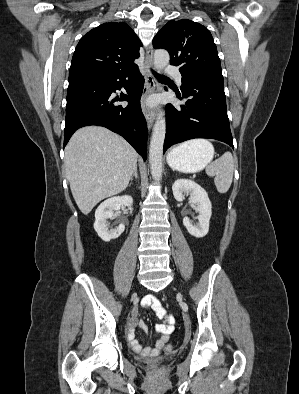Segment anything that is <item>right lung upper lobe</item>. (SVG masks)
Wrapping results in <instances>:
<instances>
[{
    "label": "right lung upper lobe",
    "instance_id": "right-lung-upper-lobe-1",
    "mask_svg": "<svg viewBox=\"0 0 299 394\" xmlns=\"http://www.w3.org/2000/svg\"><path fill=\"white\" fill-rule=\"evenodd\" d=\"M140 46L137 35L125 23L108 22L90 30L75 49L69 82L136 68Z\"/></svg>",
    "mask_w": 299,
    "mask_h": 394
}]
</instances>
